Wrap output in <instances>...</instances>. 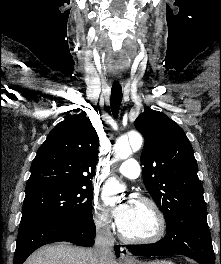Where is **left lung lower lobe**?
<instances>
[{
	"label": "left lung lower lobe",
	"mask_w": 221,
	"mask_h": 264,
	"mask_svg": "<svg viewBox=\"0 0 221 264\" xmlns=\"http://www.w3.org/2000/svg\"><path fill=\"white\" fill-rule=\"evenodd\" d=\"M135 255H185L200 264H215L207 220H182L167 223L163 239L148 245H128Z\"/></svg>",
	"instance_id": "left-lung-lower-lobe-1"
}]
</instances>
